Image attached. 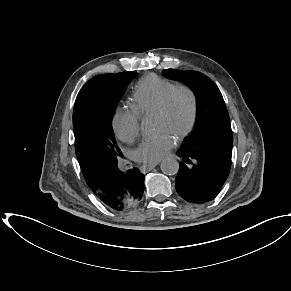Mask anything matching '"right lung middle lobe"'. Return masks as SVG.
I'll return each mask as SVG.
<instances>
[{"label":"right lung middle lobe","mask_w":291,"mask_h":291,"mask_svg":"<svg viewBox=\"0 0 291 291\" xmlns=\"http://www.w3.org/2000/svg\"><path fill=\"white\" fill-rule=\"evenodd\" d=\"M135 74H100L82 87L73 110L77 158L95 165H107L116 163L118 157L122 156L113 133L112 116Z\"/></svg>","instance_id":"obj_1"}]
</instances>
